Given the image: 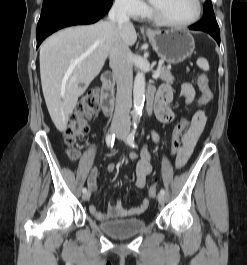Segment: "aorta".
<instances>
[{"instance_id":"obj_1","label":"aorta","mask_w":247,"mask_h":265,"mask_svg":"<svg viewBox=\"0 0 247 265\" xmlns=\"http://www.w3.org/2000/svg\"><path fill=\"white\" fill-rule=\"evenodd\" d=\"M133 98V122L135 124L137 123L138 118L141 116L145 100V74L143 71L138 72L134 79Z\"/></svg>"}]
</instances>
